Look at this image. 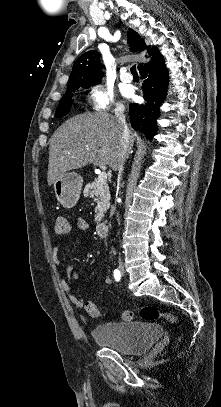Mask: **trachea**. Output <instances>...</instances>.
I'll return each mask as SVG.
<instances>
[{
    "label": "trachea",
    "mask_w": 221,
    "mask_h": 407,
    "mask_svg": "<svg viewBox=\"0 0 221 407\" xmlns=\"http://www.w3.org/2000/svg\"><path fill=\"white\" fill-rule=\"evenodd\" d=\"M131 73H132L133 75H138L137 70H136V65H134V66L131 67Z\"/></svg>",
    "instance_id": "3493384b"
}]
</instances>
